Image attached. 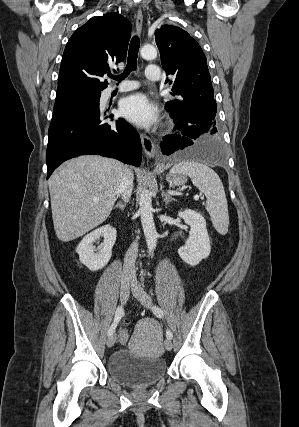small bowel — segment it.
<instances>
[{
	"label": "small bowel",
	"mask_w": 299,
	"mask_h": 427,
	"mask_svg": "<svg viewBox=\"0 0 299 427\" xmlns=\"http://www.w3.org/2000/svg\"><path fill=\"white\" fill-rule=\"evenodd\" d=\"M124 330V329H123ZM123 330H121V333H120V341L122 342V334H123Z\"/></svg>",
	"instance_id": "obj_1"
}]
</instances>
